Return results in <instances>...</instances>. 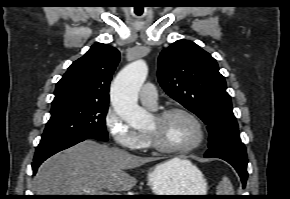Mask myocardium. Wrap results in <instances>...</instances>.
Listing matches in <instances>:
<instances>
[{
  "instance_id": "myocardium-1",
  "label": "myocardium",
  "mask_w": 290,
  "mask_h": 199,
  "mask_svg": "<svg viewBox=\"0 0 290 199\" xmlns=\"http://www.w3.org/2000/svg\"><path fill=\"white\" fill-rule=\"evenodd\" d=\"M172 114H182L188 117L197 127L198 130V138L197 140L190 146L184 148H173L168 147L160 143L155 136L150 133H145V136L148 140L149 146L151 149L168 155H186L196 151L200 148L206 140V131L201 120L195 115L192 111L184 108V107H170L163 110H160L154 114V118L158 122H162L167 117Z\"/></svg>"
}]
</instances>
